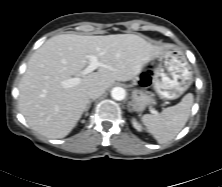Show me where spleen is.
I'll return each instance as SVG.
<instances>
[{
	"instance_id": "1",
	"label": "spleen",
	"mask_w": 222,
	"mask_h": 187,
	"mask_svg": "<svg viewBox=\"0 0 222 187\" xmlns=\"http://www.w3.org/2000/svg\"><path fill=\"white\" fill-rule=\"evenodd\" d=\"M193 100V95L188 93L180 103L165 108L161 113L143 115L142 122L158 143H167L174 139L185 126Z\"/></svg>"
}]
</instances>
